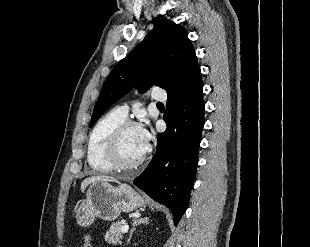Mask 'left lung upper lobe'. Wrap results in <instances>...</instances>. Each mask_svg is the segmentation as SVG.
I'll return each mask as SVG.
<instances>
[{"mask_svg":"<svg viewBox=\"0 0 310 247\" xmlns=\"http://www.w3.org/2000/svg\"><path fill=\"white\" fill-rule=\"evenodd\" d=\"M198 68L185 28L166 18L156 21L144 40L113 68L104 82L90 127L134 86L144 92L156 85L168 93Z\"/></svg>","mask_w":310,"mask_h":247,"instance_id":"5c2ea615","label":"left lung upper lobe"}]
</instances>
